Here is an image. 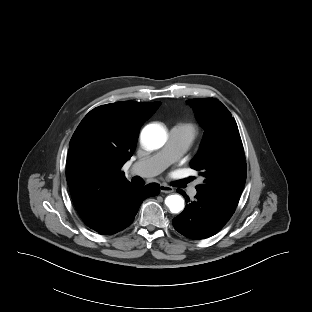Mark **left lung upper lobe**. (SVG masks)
<instances>
[{
    "label": "left lung upper lobe",
    "mask_w": 312,
    "mask_h": 312,
    "mask_svg": "<svg viewBox=\"0 0 312 312\" xmlns=\"http://www.w3.org/2000/svg\"><path fill=\"white\" fill-rule=\"evenodd\" d=\"M204 137L191 167L205 178L196 186L198 194L215 198L236 209L246 181L243 144L235 119L217 99H190Z\"/></svg>",
    "instance_id": "obj_1"
}]
</instances>
